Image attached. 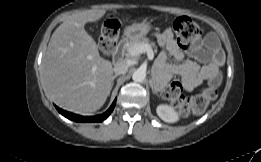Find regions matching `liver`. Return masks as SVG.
<instances>
[{
    "label": "liver",
    "mask_w": 261,
    "mask_h": 162,
    "mask_svg": "<svg viewBox=\"0 0 261 162\" xmlns=\"http://www.w3.org/2000/svg\"><path fill=\"white\" fill-rule=\"evenodd\" d=\"M105 13L104 8L91 9L70 16L52 34L43 60L46 93L59 107L77 114L100 109L110 94L112 63L100 57L84 29Z\"/></svg>",
    "instance_id": "6515ba94"
}]
</instances>
